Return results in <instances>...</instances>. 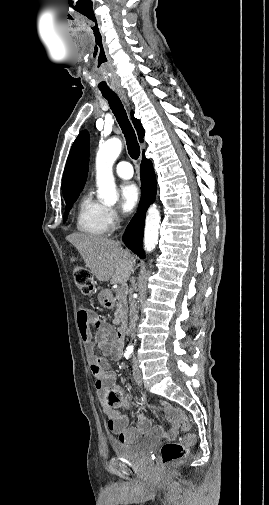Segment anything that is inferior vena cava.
<instances>
[{
  "label": "inferior vena cava",
  "instance_id": "1",
  "mask_svg": "<svg viewBox=\"0 0 269 505\" xmlns=\"http://www.w3.org/2000/svg\"><path fill=\"white\" fill-rule=\"evenodd\" d=\"M129 304H130V306H129V334L131 335V337H133L138 315H137V303H136L135 299L133 298L132 293H130V295H129Z\"/></svg>",
  "mask_w": 269,
  "mask_h": 505
}]
</instances>
